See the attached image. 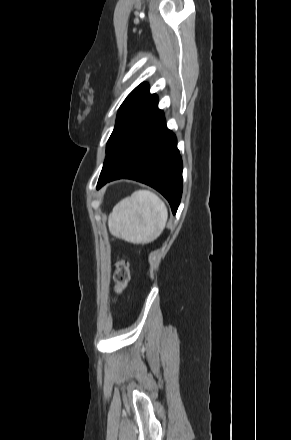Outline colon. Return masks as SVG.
<instances>
[{
	"instance_id": "1",
	"label": "colon",
	"mask_w": 291,
	"mask_h": 440,
	"mask_svg": "<svg viewBox=\"0 0 291 440\" xmlns=\"http://www.w3.org/2000/svg\"><path fill=\"white\" fill-rule=\"evenodd\" d=\"M115 280L116 291L119 293L126 287V284L129 280L128 263L122 259L118 260L116 263Z\"/></svg>"
}]
</instances>
